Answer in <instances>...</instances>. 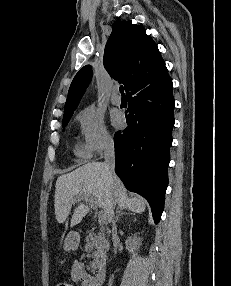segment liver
Instances as JSON below:
<instances>
[{
	"label": "liver",
	"mask_w": 231,
	"mask_h": 286,
	"mask_svg": "<svg viewBox=\"0 0 231 286\" xmlns=\"http://www.w3.org/2000/svg\"><path fill=\"white\" fill-rule=\"evenodd\" d=\"M86 196L97 201L108 221L111 220L109 208L112 200L119 207L134 213L144 212L147 205L141 197L129 198L121 180L116 175L114 178L107 175L104 163L92 162L58 177L54 197L55 216L58 223L66 221L74 200L80 201ZM88 212L89 207L80 203L74 210L70 227L80 223Z\"/></svg>",
	"instance_id": "obj_1"
}]
</instances>
